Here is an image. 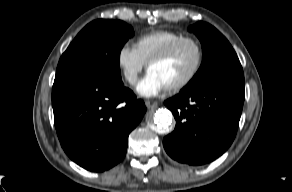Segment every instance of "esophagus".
<instances>
[{
    "label": "esophagus",
    "mask_w": 292,
    "mask_h": 192,
    "mask_svg": "<svg viewBox=\"0 0 292 192\" xmlns=\"http://www.w3.org/2000/svg\"><path fill=\"white\" fill-rule=\"evenodd\" d=\"M145 105L148 109H156L158 107V103L155 101H145Z\"/></svg>",
    "instance_id": "esophagus-1"
}]
</instances>
